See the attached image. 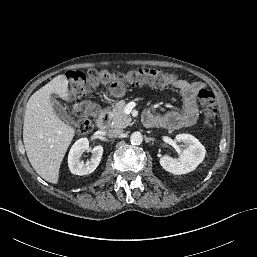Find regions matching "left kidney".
Masks as SVG:
<instances>
[{
	"label": "left kidney",
	"instance_id": "1",
	"mask_svg": "<svg viewBox=\"0 0 257 257\" xmlns=\"http://www.w3.org/2000/svg\"><path fill=\"white\" fill-rule=\"evenodd\" d=\"M176 140L184 144L185 150L178 159L172 158L170 155L162 156L160 165L172 174H187L202 163L205 157V148L197 138L190 134H178Z\"/></svg>",
	"mask_w": 257,
	"mask_h": 257
}]
</instances>
